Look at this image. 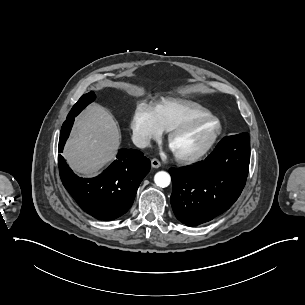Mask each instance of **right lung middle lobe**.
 <instances>
[{"mask_svg": "<svg viewBox=\"0 0 305 305\" xmlns=\"http://www.w3.org/2000/svg\"><path fill=\"white\" fill-rule=\"evenodd\" d=\"M95 99V94L93 92H89L83 95L78 102L73 106L72 111L76 112V115L80 113V111L85 108L89 103H91Z\"/></svg>", "mask_w": 305, "mask_h": 305, "instance_id": "right-lung-middle-lobe-1", "label": "right lung middle lobe"}]
</instances>
